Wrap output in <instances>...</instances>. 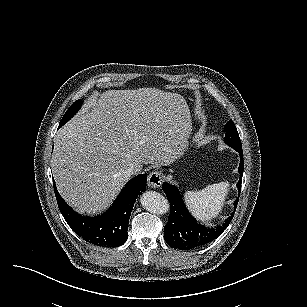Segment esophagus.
Here are the masks:
<instances>
[{
	"label": "esophagus",
	"instance_id": "1",
	"mask_svg": "<svg viewBox=\"0 0 307 307\" xmlns=\"http://www.w3.org/2000/svg\"><path fill=\"white\" fill-rule=\"evenodd\" d=\"M163 173L159 171H153L150 173L148 180H147V185L150 188H159L162 185L163 182Z\"/></svg>",
	"mask_w": 307,
	"mask_h": 307
}]
</instances>
